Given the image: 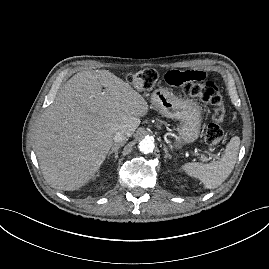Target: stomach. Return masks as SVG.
Masks as SVG:
<instances>
[{
    "label": "stomach",
    "instance_id": "stomach-1",
    "mask_svg": "<svg viewBox=\"0 0 269 269\" xmlns=\"http://www.w3.org/2000/svg\"><path fill=\"white\" fill-rule=\"evenodd\" d=\"M151 107L167 118L180 121L177 132L182 144L193 143L199 137L202 111L196 102L179 98L172 92L159 88L151 95Z\"/></svg>",
    "mask_w": 269,
    "mask_h": 269
}]
</instances>
